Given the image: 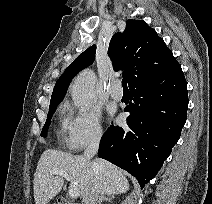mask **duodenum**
<instances>
[{"label":"duodenum","mask_w":212,"mask_h":204,"mask_svg":"<svg viewBox=\"0 0 212 204\" xmlns=\"http://www.w3.org/2000/svg\"><path fill=\"white\" fill-rule=\"evenodd\" d=\"M58 204H73L71 202H69L68 200L61 198L58 200Z\"/></svg>","instance_id":"410a0bca"}]
</instances>
